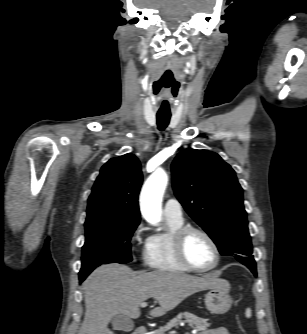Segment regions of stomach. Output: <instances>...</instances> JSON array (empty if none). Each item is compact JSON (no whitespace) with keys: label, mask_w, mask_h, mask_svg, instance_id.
<instances>
[{"label":"stomach","mask_w":307,"mask_h":334,"mask_svg":"<svg viewBox=\"0 0 307 334\" xmlns=\"http://www.w3.org/2000/svg\"><path fill=\"white\" fill-rule=\"evenodd\" d=\"M230 284L224 279H219V285L205 295L206 308L212 314H224L232 305V299L229 295Z\"/></svg>","instance_id":"stomach-1"}]
</instances>
